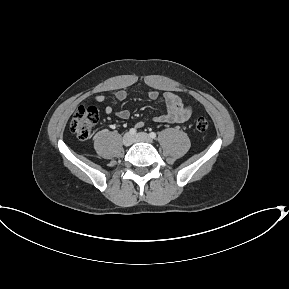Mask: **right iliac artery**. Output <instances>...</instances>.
<instances>
[{"label":"right iliac artery","mask_w":289,"mask_h":289,"mask_svg":"<svg viewBox=\"0 0 289 289\" xmlns=\"http://www.w3.org/2000/svg\"><path fill=\"white\" fill-rule=\"evenodd\" d=\"M136 132H137V130H136L135 128H131V129L129 130V133H130L131 135H135Z\"/></svg>","instance_id":"right-iliac-artery-1"}]
</instances>
